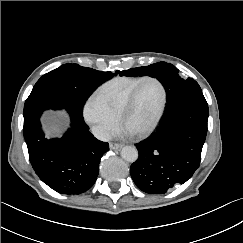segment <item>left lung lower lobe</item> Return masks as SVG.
Here are the masks:
<instances>
[{"label":"left lung lower lobe","mask_w":243,"mask_h":243,"mask_svg":"<svg viewBox=\"0 0 243 243\" xmlns=\"http://www.w3.org/2000/svg\"><path fill=\"white\" fill-rule=\"evenodd\" d=\"M208 114L202 92L166 109L156 130L135 144L139 157L130 173L139 189L163 194L192 177L200 164Z\"/></svg>","instance_id":"obj_1"}]
</instances>
